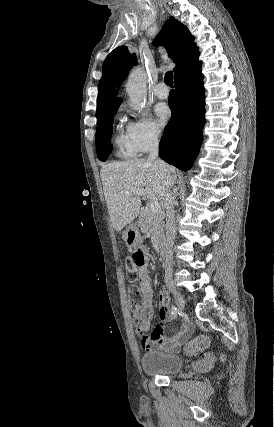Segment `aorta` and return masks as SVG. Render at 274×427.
<instances>
[{
    "mask_svg": "<svg viewBox=\"0 0 274 427\" xmlns=\"http://www.w3.org/2000/svg\"><path fill=\"white\" fill-rule=\"evenodd\" d=\"M146 79V72L142 68L133 70L128 78L126 91L130 106L135 110H140L145 104L147 97Z\"/></svg>",
    "mask_w": 274,
    "mask_h": 427,
    "instance_id": "762f6f07",
    "label": "aorta"
}]
</instances>
